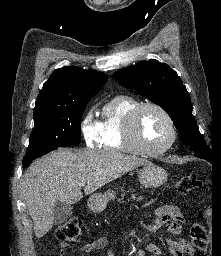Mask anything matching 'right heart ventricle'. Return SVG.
<instances>
[{
    "label": "right heart ventricle",
    "instance_id": "right-heart-ventricle-1",
    "mask_svg": "<svg viewBox=\"0 0 221 256\" xmlns=\"http://www.w3.org/2000/svg\"><path fill=\"white\" fill-rule=\"evenodd\" d=\"M140 102L133 96L120 94L104 106L101 123L102 149L111 152L138 153L125 139L124 129L131 110Z\"/></svg>",
    "mask_w": 221,
    "mask_h": 256
}]
</instances>
